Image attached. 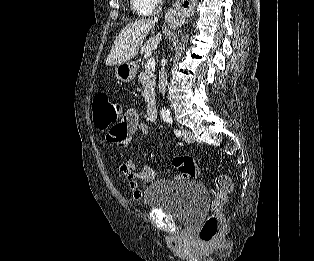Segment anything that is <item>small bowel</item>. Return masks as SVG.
<instances>
[{"label":"small bowel","mask_w":314,"mask_h":261,"mask_svg":"<svg viewBox=\"0 0 314 261\" xmlns=\"http://www.w3.org/2000/svg\"><path fill=\"white\" fill-rule=\"evenodd\" d=\"M135 133L148 135L149 127L141 123L137 112L130 108L126 111L121 123L112 127L104 134V139L109 140L111 145L126 147ZM126 136V138H125ZM120 173L128 180L129 189L134 200H141L143 192L139 187V181L152 182L156 179V171L149 165L137 168L135 163L128 159L119 165Z\"/></svg>","instance_id":"small-bowel-1"}]
</instances>
